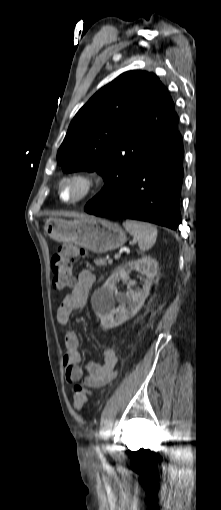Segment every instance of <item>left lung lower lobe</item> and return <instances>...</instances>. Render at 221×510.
I'll return each instance as SVG.
<instances>
[{"label": "left lung lower lobe", "instance_id": "obj_1", "mask_svg": "<svg viewBox=\"0 0 221 510\" xmlns=\"http://www.w3.org/2000/svg\"><path fill=\"white\" fill-rule=\"evenodd\" d=\"M183 155L179 135L152 151L116 198L99 208L87 203L85 211L101 217L148 221L177 230L181 223Z\"/></svg>", "mask_w": 221, "mask_h": 510}]
</instances>
